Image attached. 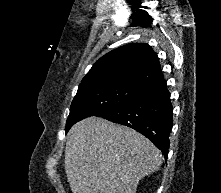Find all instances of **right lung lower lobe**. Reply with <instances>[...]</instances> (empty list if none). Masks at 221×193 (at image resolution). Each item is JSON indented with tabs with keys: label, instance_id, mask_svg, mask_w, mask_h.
<instances>
[{
	"label": "right lung lower lobe",
	"instance_id": "1",
	"mask_svg": "<svg viewBox=\"0 0 221 193\" xmlns=\"http://www.w3.org/2000/svg\"><path fill=\"white\" fill-rule=\"evenodd\" d=\"M173 107L164 78L144 85L130 100L97 116L135 129L167 160Z\"/></svg>",
	"mask_w": 221,
	"mask_h": 193
}]
</instances>
